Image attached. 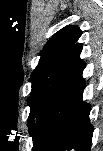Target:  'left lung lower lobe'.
I'll list each match as a JSON object with an SVG mask.
<instances>
[{
    "mask_svg": "<svg viewBox=\"0 0 103 151\" xmlns=\"http://www.w3.org/2000/svg\"><path fill=\"white\" fill-rule=\"evenodd\" d=\"M81 51V44L75 43L32 80L27 124L36 151H90L93 126L91 107L82 97Z\"/></svg>",
    "mask_w": 103,
    "mask_h": 151,
    "instance_id": "obj_1",
    "label": "left lung lower lobe"
}]
</instances>
